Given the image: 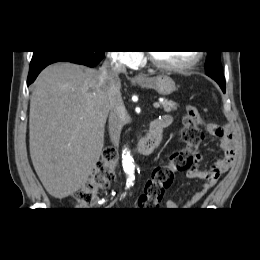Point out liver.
I'll list each match as a JSON object with an SVG mask.
<instances>
[{
	"mask_svg": "<svg viewBox=\"0 0 260 260\" xmlns=\"http://www.w3.org/2000/svg\"><path fill=\"white\" fill-rule=\"evenodd\" d=\"M100 76L97 69L59 62L46 67L33 84L30 156L55 198L77 191L102 153L109 106Z\"/></svg>",
	"mask_w": 260,
	"mask_h": 260,
	"instance_id": "obj_1",
	"label": "liver"
}]
</instances>
